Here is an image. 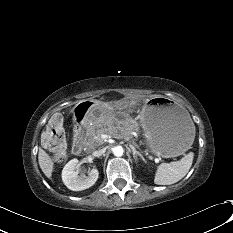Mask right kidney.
<instances>
[{"label":"right kidney","mask_w":233,"mask_h":233,"mask_svg":"<svg viewBox=\"0 0 233 233\" xmlns=\"http://www.w3.org/2000/svg\"><path fill=\"white\" fill-rule=\"evenodd\" d=\"M78 162L79 161L77 159L70 160L62 171V180L64 184L67 188L73 191H81L91 187L95 184L99 175L96 168H93L88 176L78 175L75 171Z\"/></svg>","instance_id":"1"}]
</instances>
